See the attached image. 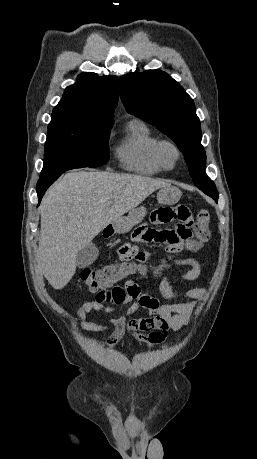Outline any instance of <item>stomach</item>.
<instances>
[{"mask_svg": "<svg viewBox=\"0 0 257 459\" xmlns=\"http://www.w3.org/2000/svg\"><path fill=\"white\" fill-rule=\"evenodd\" d=\"M181 196V191L172 185L161 188L157 193V200L160 204H175ZM146 215L144 206L134 208L129 211L127 216H121L111 223L114 233L124 234L129 232L135 225L142 222Z\"/></svg>", "mask_w": 257, "mask_h": 459, "instance_id": "obj_1", "label": "stomach"}]
</instances>
